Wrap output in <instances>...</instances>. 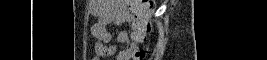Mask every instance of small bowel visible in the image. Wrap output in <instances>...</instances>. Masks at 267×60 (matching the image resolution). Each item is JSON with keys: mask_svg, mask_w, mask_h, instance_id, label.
Masks as SVG:
<instances>
[{"mask_svg": "<svg viewBox=\"0 0 267 60\" xmlns=\"http://www.w3.org/2000/svg\"><path fill=\"white\" fill-rule=\"evenodd\" d=\"M90 6L91 13L98 17L91 28V33L96 40L94 60L113 56L117 52V46L110 44L112 32L109 26L111 24L120 28L116 41L125 46L118 52L117 60L134 59L135 48L141 43L142 34L135 27L127 3L124 0H92ZM125 27L131 29V33L125 30Z\"/></svg>", "mask_w": 267, "mask_h": 60, "instance_id": "c3829d8e", "label": "small bowel"}]
</instances>
